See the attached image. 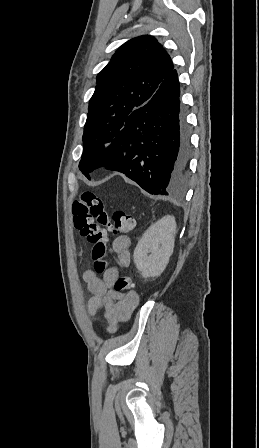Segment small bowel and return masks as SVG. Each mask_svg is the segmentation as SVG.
I'll return each mask as SVG.
<instances>
[{
	"mask_svg": "<svg viewBox=\"0 0 259 448\" xmlns=\"http://www.w3.org/2000/svg\"><path fill=\"white\" fill-rule=\"evenodd\" d=\"M131 240L128 236L121 235L112 242V249L117 255L118 265L128 267L131 262L130 255ZM119 276L118 267H110L99 278L94 270L84 273L86 282L92 297L88 301V312L91 316L98 310H104V317L107 321V331L112 334L116 332L120 322L127 321L138 304V296L135 292L122 293L115 290L114 283Z\"/></svg>",
	"mask_w": 259,
	"mask_h": 448,
	"instance_id": "small-bowel-1",
	"label": "small bowel"
}]
</instances>
